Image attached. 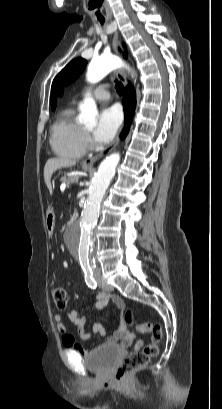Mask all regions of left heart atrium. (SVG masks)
<instances>
[{"mask_svg":"<svg viewBox=\"0 0 222 409\" xmlns=\"http://www.w3.org/2000/svg\"><path fill=\"white\" fill-rule=\"evenodd\" d=\"M121 121L122 114L118 107L111 106L103 109L93 132L94 140L98 144L108 143L115 136Z\"/></svg>","mask_w":222,"mask_h":409,"instance_id":"obj_1","label":"left heart atrium"}]
</instances>
